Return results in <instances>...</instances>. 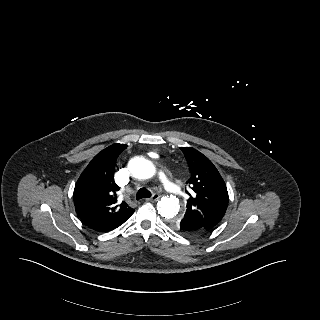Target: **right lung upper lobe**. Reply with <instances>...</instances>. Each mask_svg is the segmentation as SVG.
<instances>
[{
	"label": "right lung upper lobe",
	"mask_w": 320,
	"mask_h": 320,
	"mask_svg": "<svg viewBox=\"0 0 320 320\" xmlns=\"http://www.w3.org/2000/svg\"><path fill=\"white\" fill-rule=\"evenodd\" d=\"M113 144L99 152L79 177L73 199L76 213L91 229L107 232L119 227L134 213L124 201L118 203V185L114 181L115 162L126 149Z\"/></svg>",
	"instance_id": "right-lung-upper-lobe-1"
}]
</instances>
